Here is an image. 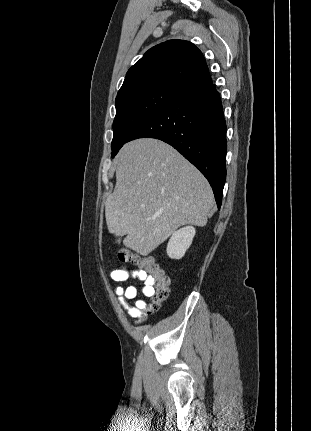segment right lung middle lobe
<instances>
[{
    "label": "right lung middle lobe",
    "mask_w": 311,
    "mask_h": 431,
    "mask_svg": "<svg viewBox=\"0 0 311 431\" xmlns=\"http://www.w3.org/2000/svg\"><path fill=\"white\" fill-rule=\"evenodd\" d=\"M180 95L155 88H143L117 95L113 122L112 157L128 142L133 131Z\"/></svg>",
    "instance_id": "obj_1"
}]
</instances>
